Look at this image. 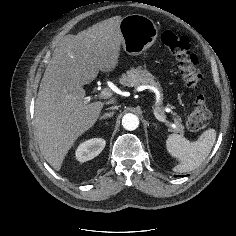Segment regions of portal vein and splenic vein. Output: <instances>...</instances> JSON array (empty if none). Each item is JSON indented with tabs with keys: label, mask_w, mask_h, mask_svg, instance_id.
Wrapping results in <instances>:
<instances>
[{
	"label": "portal vein and splenic vein",
	"mask_w": 236,
	"mask_h": 236,
	"mask_svg": "<svg viewBox=\"0 0 236 236\" xmlns=\"http://www.w3.org/2000/svg\"><path fill=\"white\" fill-rule=\"evenodd\" d=\"M111 96H112V91L109 88L103 89L99 94L100 98H109ZM153 113H154L156 119H158L159 121H161L165 124H169V121L166 119V117L163 115H160L155 109L153 110Z\"/></svg>",
	"instance_id": "1"
}]
</instances>
